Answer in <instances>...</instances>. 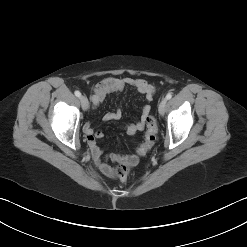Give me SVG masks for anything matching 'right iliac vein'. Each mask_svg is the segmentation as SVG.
<instances>
[{"label": "right iliac vein", "instance_id": "1", "mask_svg": "<svg viewBox=\"0 0 247 247\" xmlns=\"http://www.w3.org/2000/svg\"><path fill=\"white\" fill-rule=\"evenodd\" d=\"M80 102H81L82 109L84 111L88 110L89 102H88V99L85 96H80Z\"/></svg>", "mask_w": 247, "mask_h": 247}]
</instances>
